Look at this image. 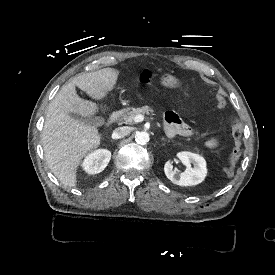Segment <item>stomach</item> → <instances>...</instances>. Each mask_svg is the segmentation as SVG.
<instances>
[{"mask_svg":"<svg viewBox=\"0 0 275 275\" xmlns=\"http://www.w3.org/2000/svg\"><path fill=\"white\" fill-rule=\"evenodd\" d=\"M161 84L166 87H177L179 86V80L176 79L173 75L164 74L161 76Z\"/></svg>","mask_w":275,"mask_h":275,"instance_id":"0dacf381","label":"stomach"}]
</instances>
